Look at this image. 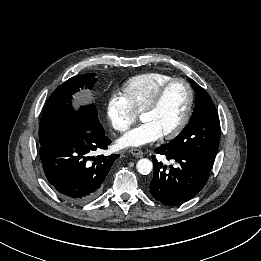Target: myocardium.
<instances>
[{"label": "myocardium", "instance_id": "1", "mask_svg": "<svg viewBox=\"0 0 261 261\" xmlns=\"http://www.w3.org/2000/svg\"><path fill=\"white\" fill-rule=\"evenodd\" d=\"M177 83L183 84L187 89L188 92L187 107L178 125L170 132L162 135L161 138L164 140H170L177 137L188 124L194 105V91L191 84L186 79L183 78H172L170 81H168L158 90L154 99L145 107V109L140 114V119H142L143 115L157 111L161 106L163 99L166 93L168 92V90Z\"/></svg>", "mask_w": 261, "mask_h": 261}]
</instances>
